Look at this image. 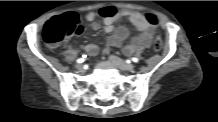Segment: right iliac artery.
Wrapping results in <instances>:
<instances>
[{
	"label": "right iliac artery",
	"instance_id": "right-iliac-artery-1",
	"mask_svg": "<svg viewBox=\"0 0 218 122\" xmlns=\"http://www.w3.org/2000/svg\"><path fill=\"white\" fill-rule=\"evenodd\" d=\"M83 57H85V56H83ZM82 62H84V58H80L77 60V63H82Z\"/></svg>",
	"mask_w": 218,
	"mask_h": 122
}]
</instances>
